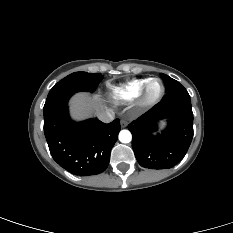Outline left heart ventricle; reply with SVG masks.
Returning <instances> with one entry per match:
<instances>
[{
  "label": "left heart ventricle",
  "instance_id": "1",
  "mask_svg": "<svg viewBox=\"0 0 233 233\" xmlns=\"http://www.w3.org/2000/svg\"><path fill=\"white\" fill-rule=\"evenodd\" d=\"M160 91V85L159 83L155 82L151 85L150 89H149V94L151 96L156 95L158 92Z\"/></svg>",
  "mask_w": 233,
  "mask_h": 233
}]
</instances>
